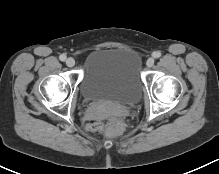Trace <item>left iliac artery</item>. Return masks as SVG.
I'll list each match as a JSON object with an SVG mask.
<instances>
[{"label": "left iliac artery", "mask_w": 219, "mask_h": 174, "mask_svg": "<svg viewBox=\"0 0 219 174\" xmlns=\"http://www.w3.org/2000/svg\"><path fill=\"white\" fill-rule=\"evenodd\" d=\"M152 55H153L154 58H159L161 56V52L160 51H156Z\"/></svg>", "instance_id": "obj_1"}]
</instances>
